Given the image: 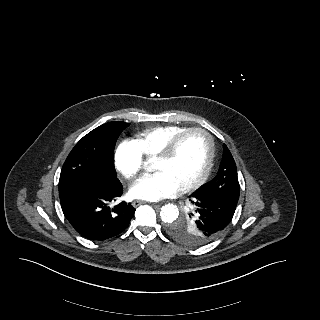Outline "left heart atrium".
Masks as SVG:
<instances>
[{"label": "left heart atrium", "instance_id": "39dd6f15", "mask_svg": "<svg viewBox=\"0 0 320 320\" xmlns=\"http://www.w3.org/2000/svg\"><path fill=\"white\" fill-rule=\"evenodd\" d=\"M180 187L166 174L155 173L134 182L130 187L133 198L145 201H157L178 193Z\"/></svg>", "mask_w": 320, "mask_h": 320}]
</instances>
